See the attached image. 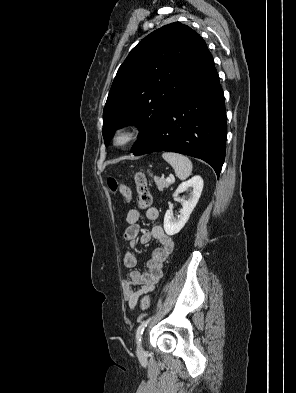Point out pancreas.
I'll list each match as a JSON object with an SVG mask.
<instances>
[{
	"instance_id": "cf45deb5",
	"label": "pancreas",
	"mask_w": 296,
	"mask_h": 393,
	"mask_svg": "<svg viewBox=\"0 0 296 393\" xmlns=\"http://www.w3.org/2000/svg\"><path fill=\"white\" fill-rule=\"evenodd\" d=\"M154 181H155L159 191H162L164 188H168L172 184V182H168L163 177H161V178L155 177Z\"/></svg>"
}]
</instances>
